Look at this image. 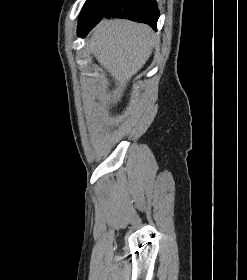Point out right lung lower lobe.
Returning a JSON list of instances; mask_svg holds the SVG:
<instances>
[{
    "label": "right lung lower lobe",
    "instance_id": "right-lung-lower-lobe-1",
    "mask_svg": "<svg viewBox=\"0 0 247 280\" xmlns=\"http://www.w3.org/2000/svg\"><path fill=\"white\" fill-rule=\"evenodd\" d=\"M103 17L126 18L156 29L159 10L156 0H112L99 18L78 26V35L84 37Z\"/></svg>",
    "mask_w": 247,
    "mask_h": 280
}]
</instances>
